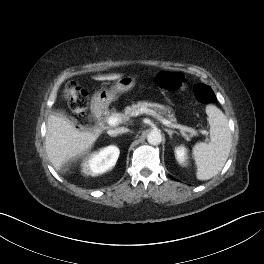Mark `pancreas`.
<instances>
[{"instance_id":"1","label":"pancreas","mask_w":264,"mask_h":264,"mask_svg":"<svg viewBox=\"0 0 264 264\" xmlns=\"http://www.w3.org/2000/svg\"><path fill=\"white\" fill-rule=\"evenodd\" d=\"M141 108H151L152 111L158 113L159 115H166L171 123L177 124L175 116L167 114V108L164 105L147 101H140L137 104H133L132 106H127L124 109V114L112 113V116L119 115L121 116L120 118L127 120L129 117L135 116L136 112H138Z\"/></svg>"}]
</instances>
